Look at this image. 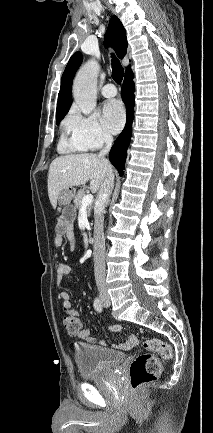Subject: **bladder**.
Instances as JSON below:
<instances>
[{
    "label": "bladder",
    "instance_id": "obj_1",
    "mask_svg": "<svg viewBox=\"0 0 213 433\" xmlns=\"http://www.w3.org/2000/svg\"><path fill=\"white\" fill-rule=\"evenodd\" d=\"M125 357L123 352L87 343H78L74 348L77 370L83 379H99L109 375Z\"/></svg>",
    "mask_w": 213,
    "mask_h": 433
}]
</instances>
